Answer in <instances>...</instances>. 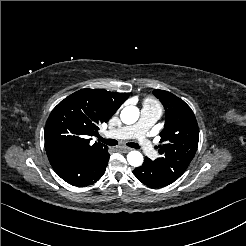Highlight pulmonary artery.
<instances>
[{
  "label": "pulmonary artery",
  "mask_w": 246,
  "mask_h": 246,
  "mask_svg": "<svg viewBox=\"0 0 246 246\" xmlns=\"http://www.w3.org/2000/svg\"><path fill=\"white\" fill-rule=\"evenodd\" d=\"M161 111L156 108H143L140 121L131 126H124L116 131L108 133L110 137L117 138H134L142 146V149L148 154L153 155L155 150L153 149L151 143L145 138V130L154 124L160 117Z\"/></svg>",
  "instance_id": "e3ab8cb5"
}]
</instances>
